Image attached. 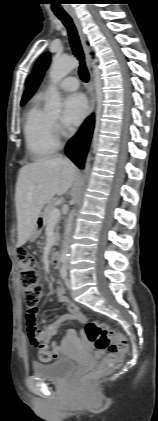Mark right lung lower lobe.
Instances as JSON below:
<instances>
[{"label": "right lung lower lobe", "mask_w": 158, "mask_h": 421, "mask_svg": "<svg viewBox=\"0 0 158 421\" xmlns=\"http://www.w3.org/2000/svg\"><path fill=\"white\" fill-rule=\"evenodd\" d=\"M93 126L94 118L90 116L76 135L68 142L65 149L66 155L81 169L84 167Z\"/></svg>", "instance_id": "1"}]
</instances>
